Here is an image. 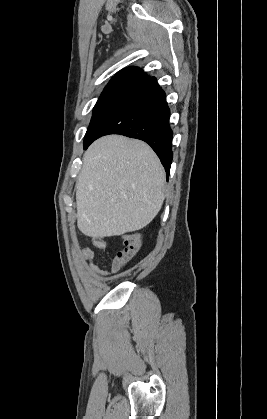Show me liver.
<instances>
[{
	"label": "liver",
	"mask_w": 267,
	"mask_h": 419,
	"mask_svg": "<svg viewBox=\"0 0 267 419\" xmlns=\"http://www.w3.org/2000/svg\"><path fill=\"white\" fill-rule=\"evenodd\" d=\"M165 180L145 142L120 135L96 140L83 156L76 185L79 230L100 238L144 228L163 205Z\"/></svg>",
	"instance_id": "1"
}]
</instances>
